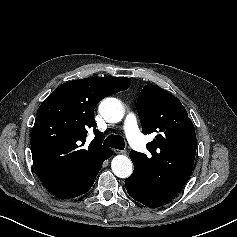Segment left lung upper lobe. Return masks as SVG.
Wrapping results in <instances>:
<instances>
[{
  "label": "left lung upper lobe",
  "mask_w": 237,
  "mask_h": 237,
  "mask_svg": "<svg viewBox=\"0 0 237 237\" xmlns=\"http://www.w3.org/2000/svg\"><path fill=\"white\" fill-rule=\"evenodd\" d=\"M142 131L157 134L147 143L151 156L131 151L133 178L153 202L172 200L188 181L195 160L196 134L178 98L156 85H146L137 100Z\"/></svg>",
  "instance_id": "left-lung-upper-lobe-1"
}]
</instances>
